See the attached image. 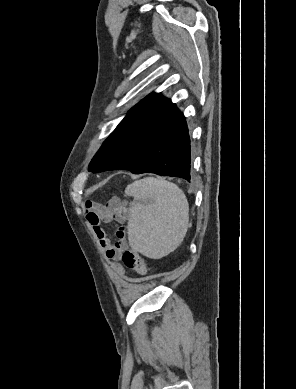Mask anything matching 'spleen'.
<instances>
[{
	"label": "spleen",
	"instance_id": "3e777b00",
	"mask_svg": "<svg viewBox=\"0 0 296 389\" xmlns=\"http://www.w3.org/2000/svg\"><path fill=\"white\" fill-rule=\"evenodd\" d=\"M125 193L134 198L127 226L131 248L151 259L173 252L188 229L189 206L182 190L147 177L129 184Z\"/></svg>",
	"mask_w": 296,
	"mask_h": 389
}]
</instances>
